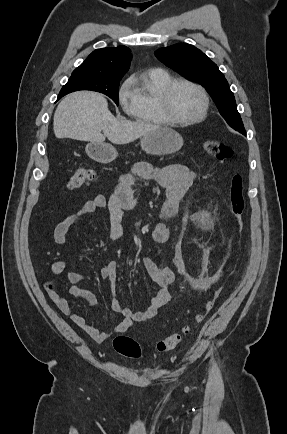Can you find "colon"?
<instances>
[{
    "instance_id": "5ec220e1",
    "label": "colon",
    "mask_w": 287,
    "mask_h": 434,
    "mask_svg": "<svg viewBox=\"0 0 287 434\" xmlns=\"http://www.w3.org/2000/svg\"><path fill=\"white\" fill-rule=\"evenodd\" d=\"M205 151L219 161H225L232 157V150L223 143L215 140H207L203 144ZM94 178L93 171L86 166H79L70 177L68 187L70 189H79L88 185ZM229 205L232 216L235 218L238 229L241 227V219L245 211L244 186L241 175L235 174L230 182L229 187ZM50 292H54L52 284L47 285ZM222 287L214 289L211 297L205 304L204 311L194 318V323H199L205 312L212 309L215 299L219 296ZM190 331V326L185 325L179 331L174 332L157 343L159 352H168L174 349ZM113 347L120 355L128 358H138L141 355V349L138 342L124 335L116 336L113 340Z\"/></svg>"
}]
</instances>
